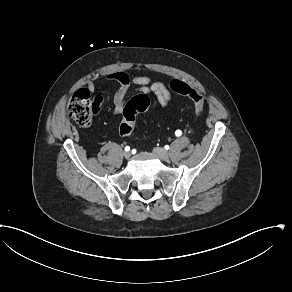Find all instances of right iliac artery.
Masks as SVG:
<instances>
[{
    "label": "right iliac artery",
    "mask_w": 292,
    "mask_h": 292,
    "mask_svg": "<svg viewBox=\"0 0 292 292\" xmlns=\"http://www.w3.org/2000/svg\"><path fill=\"white\" fill-rule=\"evenodd\" d=\"M130 150V147L129 146H126L125 147V151H129Z\"/></svg>",
    "instance_id": "82829eb1"
}]
</instances>
